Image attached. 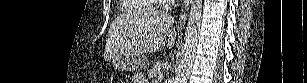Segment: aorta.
<instances>
[{
	"instance_id": "1",
	"label": "aorta",
	"mask_w": 307,
	"mask_h": 83,
	"mask_svg": "<svg viewBox=\"0 0 307 83\" xmlns=\"http://www.w3.org/2000/svg\"><path fill=\"white\" fill-rule=\"evenodd\" d=\"M202 19V0H193L185 32V44L176 71L175 83H187L193 67Z\"/></svg>"
}]
</instances>
